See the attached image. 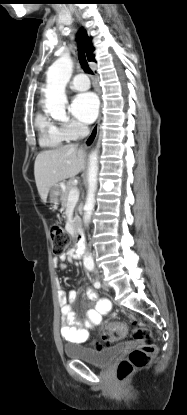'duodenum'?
<instances>
[{
  "instance_id": "obj_1",
  "label": "duodenum",
  "mask_w": 187,
  "mask_h": 415,
  "mask_svg": "<svg viewBox=\"0 0 187 415\" xmlns=\"http://www.w3.org/2000/svg\"><path fill=\"white\" fill-rule=\"evenodd\" d=\"M73 233L75 238L74 256H79L83 248V238L78 221L73 222Z\"/></svg>"
}]
</instances>
